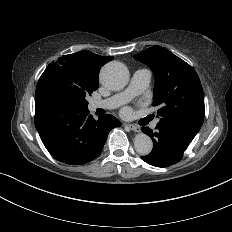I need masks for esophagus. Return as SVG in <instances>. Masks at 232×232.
Returning <instances> with one entry per match:
<instances>
[{
  "mask_svg": "<svg viewBox=\"0 0 232 232\" xmlns=\"http://www.w3.org/2000/svg\"><path fill=\"white\" fill-rule=\"evenodd\" d=\"M125 126L127 128H129L130 130L134 131V132H139L140 131V127L132 125V124H125Z\"/></svg>",
  "mask_w": 232,
  "mask_h": 232,
  "instance_id": "34e87169",
  "label": "esophagus"
}]
</instances>
